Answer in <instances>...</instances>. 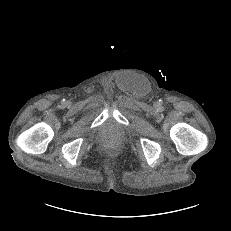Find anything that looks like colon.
Listing matches in <instances>:
<instances>
[{"instance_id": "5ec220e1", "label": "colon", "mask_w": 231, "mask_h": 231, "mask_svg": "<svg viewBox=\"0 0 231 231\" xmlns=\"http://www.w3.org/2000/svg\"><path fill=\"white\" fill-rule=\"evenodd\" d=\"M104 145H105V147H106L107 149H113V148L115 147V143H114L113 139H111V138H107V139L105 140Z\"/></svg>"}]
</instances>
